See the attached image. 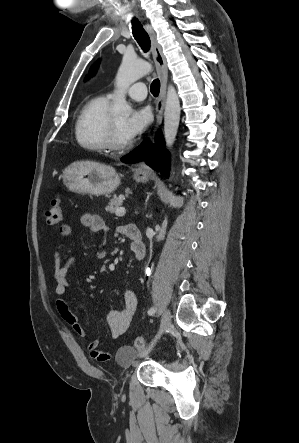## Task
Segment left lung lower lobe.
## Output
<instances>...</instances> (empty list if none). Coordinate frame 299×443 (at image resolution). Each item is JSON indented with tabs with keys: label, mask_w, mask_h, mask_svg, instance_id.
I'll return each mask as SVG.
<instances>
[{
	"label": "left lung lower lobe",
	"mask_w": 299,
	"mask_h": 443,
	"mask_svg": "<svg viewBox=\"0 0 299 443\" xmlns=\"http://www.w3.org/2000/svg\"><path fill=\"white\" fill-rule=\"evenodd\" d=\"M145 160L147 165L162 175H168L169 154L164 147L162 133L158 131L155 136V144L146 139L137 148L121 158L124 163H137Z\"/></svg>",
	"instance_id": "1"
}]
</instances>
